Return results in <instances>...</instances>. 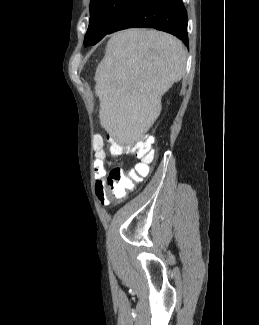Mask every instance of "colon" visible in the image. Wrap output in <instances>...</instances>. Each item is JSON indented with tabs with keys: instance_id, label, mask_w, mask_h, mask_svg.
I'll use <instances>...</instances> for the list:
<instances>
[{
	"instance_id": "obj_1",
	"label": "colon",
	"mask_w": 259,
	"mask_h": 325,
	"mask_svg": "<svg viewBox=\"0 0 259 325\" xmlns=\"http://www.w3.org/2000/svg\"><path fill=\"white\" fill-rule=\"evenodd\" d=\"M110 143L112 154H132L137 156L141 163L127 171L113 168L108 176L103 178L98 189V195L107 203L119 202L126 197L128 192L135 190L137 185L147 176L149 164L155 155L152 136H146L142 140L128 144L119 143L114 139H110ZM92 146L96 154L100 156L105 154L102 137L96 136L93 139Z\"/></svg>"
}]
</instances>
